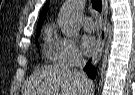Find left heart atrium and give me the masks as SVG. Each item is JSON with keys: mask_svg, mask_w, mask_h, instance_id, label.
Instances as JSON below:
<instances>
[{"mask_svg": "<svg viewBox=\"0 0 135 95\" xmlns=\"http://www.w3.org/2000/svg\"><path fill=\"white\" fill-rule=\"evenodd\" d=\"M81 47L86 55H92L98 49V42L93 36L85 35L81 39Z\"/></svg>", "mask_w": 135, "mask_h": 95, "instance_id": "left-heart-atrium-1", "label": "left heart atrium"}]
</instances>
